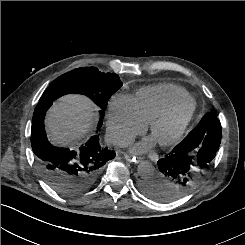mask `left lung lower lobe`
<instances>
[{"label": "left lung lower lobe", "mask_w": 245, "mask_h": 245, "mask_svg": "<svg viewBox=\"0 0 245 245\" xmlns=\"http://www.w3.org/2000/svg\"><path fill=\"white\" fill-rule=\"evenodd\" d=\"M221 123L206 113L199 124L173 150L158 161V172L143 191L157 200L172 199L193 186L216 156Z\"/></svg>", "instance_id": "0a47b994"}]
</instances>
